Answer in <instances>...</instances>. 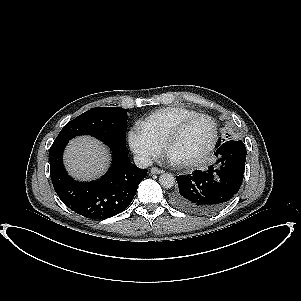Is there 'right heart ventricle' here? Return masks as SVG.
I'll return each instance as SVG.
<instances>
[{"label":"right heart ventricle","mask_w":301,"mask_h":301,"mask_svg":"<svg viewBox=\"0 0 301 301\" xmlns=\"http://www.w3.org/2000/svg\"><path fill=\"white\" fill-rule=\"evenodd\" d=\"M196 114V111L184 107L161 108L148 115L140 126L148 136L163 143L178 124Z\"/></svg>","instance_id":"1"}]
</instances>
